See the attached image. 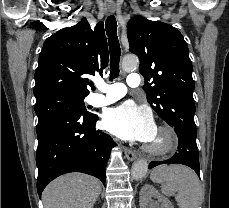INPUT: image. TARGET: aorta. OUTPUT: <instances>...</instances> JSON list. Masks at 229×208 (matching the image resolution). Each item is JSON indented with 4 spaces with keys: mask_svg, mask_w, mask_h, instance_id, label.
Listing matches in <instances>:
<instances>
[{
    "mask_svg": "<svg viewBox=\"0 0 229 208\" xmlns=\"http://www.w3.org/2000/svg\"><path fill=\"white\" fill-rule=\"evenodd\" d=\"M138 67V59L136 56H126L123 58L122 68L124 71L130 72ZM148 171V163L145 160H137L131 168V176L134 180H141Z\"/></svg>",
    "mask_w": 229,
    "mask_h": 208,
    "instance_id": "762f6f07",
    "label": "aorta"
}]
</instances>
